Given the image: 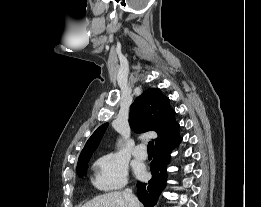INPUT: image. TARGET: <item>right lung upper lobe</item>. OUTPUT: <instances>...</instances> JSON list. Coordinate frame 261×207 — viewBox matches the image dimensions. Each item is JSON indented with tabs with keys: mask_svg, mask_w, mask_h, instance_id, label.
I'll return each instance as SVG.
<instances>
[{
	"mask_svg": "<svg viewBox=\"0 0 261 207\" xmlns=\"http://www.w3.org/2000/svg\"><path fill=\"white\" fill-rule=\"evenodd\" d=\"M129 123L131 129L137 133L155 131L158 134L155 148L169 144L180 137L175 111L169 105V98L159 89L150 88L135 99L131 105ZM107 126L108 123H105L96 129L81 151L78 162L91 157Z\"/></svg>",
	"mask_w": 261,
	"mask_h": 207,
	"instance_id": "1",
	"label": "right lung upper lobe"
}]
</instances>
